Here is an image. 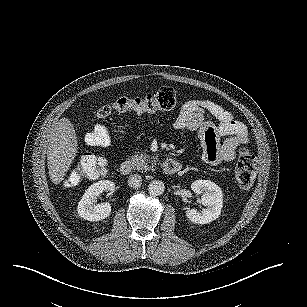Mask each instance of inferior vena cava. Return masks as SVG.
Returning <instances> with one entry per match:
<instances>
[{"label": "inferior vena cava", "instance_id": "602c4592", "mask_svg": "<svg viewBox=\"0 0 307 307\" xmlns=\"http://www.w3.org/2000/svg\"><path fill=\"white\" fill-rule=\"evenodd\" d=\"M143 179L139 174L130 175L128 179V184L130 187L139 189L142 186Z\"/></svg>", "mask_w": 307, "mask_h": 307}]
</instances>
